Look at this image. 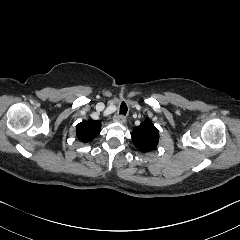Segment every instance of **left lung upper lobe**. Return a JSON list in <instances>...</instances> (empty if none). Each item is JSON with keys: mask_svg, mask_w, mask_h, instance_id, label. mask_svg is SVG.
<instances>
[{"mask_svg": "<svg viewBox=\"0 0 240 240\" xmlns=\"http://www.w3.org/2000/svg\"><path fill=\"white\" fill-rule=\"evenodd\" d=\"M132 140L135 147L142 152L153 150L159 141V131L146 119L139 126L135 127L132 133Z\"/></svg>", "mask_w": 240, "mask_h": 240, "instance_id": "left-lung-upper-lobe-1", "label": "left lung upper lobe"}]
</instances>
